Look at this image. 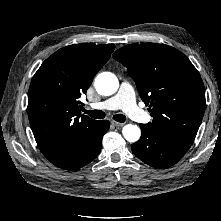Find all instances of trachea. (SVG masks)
I'll return each instance as SVG.
<instances>
[{
    "mask_svg": "<svg viewBox=\"0 0 221 221\" xmlns=\"http://www.w3.org/2000/svg\"><path fill=\"white\" fill-rule=\"evenodd\" d=\"M83 111L88 114L91 118H95V119H103L105 117V113L101 110H85L83 109ZM113 119L117 122H125L126 117L123 114H116L113 116Z\"/></svg>",
    "mask_w": 221,
    "mask_h": 221,
    "instance_id": "1",
    "label": "trachea"
}]
</instances>
